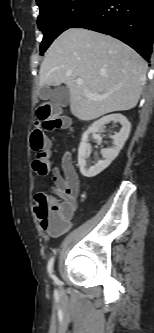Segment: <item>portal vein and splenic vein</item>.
Instances as JSON below:
<instances>
[{"mask_svg":"<svg viewBox=\"0 0 154 333\" xmlns=\"http://www.w3.org/2000/svg\"><path fill=\"white\" fill-rule=\"evenodd\" d=\"M82 83H83L82 79H76V84L82 85ZM84 93L88 98L93 99V100H101L104 98L103 96H97V95L91 94L87 90H84Z\"/></svg>","mask_w":154,"mask_h":333,"instance_id":"obj_1","label":"portal vein and splenic vein"}]
</instances>
